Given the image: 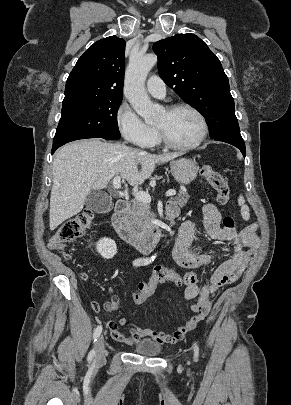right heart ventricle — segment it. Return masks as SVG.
Returning a JSON list of instances; mask_svg holds the SVG:
<instances>
[{
	"mask_svg": "<svg viewBox=\"0 0 291 405\" xmlns=\"http://www.w3.org/2000/svg\"><path fill=\"white\" fill-rule=\"evenodd\" d=\"M157 144H158V138H157V136H156L150 146H154V145H157Z\"/></svg>",
	"mask_w": 291,
	"mask_h": 405,
	"instance_id": "obj_1",
	"label": "right heart ventricle"
}]
</instances>
